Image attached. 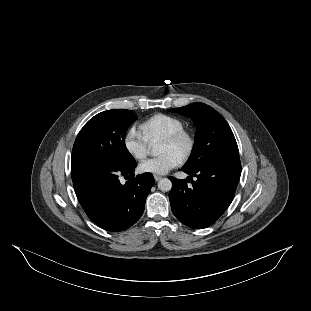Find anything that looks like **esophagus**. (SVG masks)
Here are the masks:
<instances>
[{
	"mask_svg": "<svg viewBox=\"0 0 311 311\" xmlns=\"http://www.w3.org/2000/svg\"><path fill=\"white\" fill-rule=\"evenodd\" d=\"M154 179L156 182H158L161 179V176L154 174Z\"/></svg>",
	"mask_w": 311,
	"mask_h": 311,
	"instance_id": "34e87169",
	"label": "esophagus"
}]
</instances>
